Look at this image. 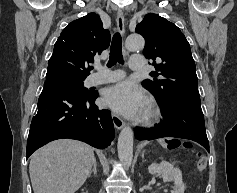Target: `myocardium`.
<instances>
[{"label": "myocardium", "mask_w": 237, "mask_h": 193, "mask_svg": "<svg viewBox=\"0 0 237 193\" xmlns=\"http://www.w3.org/2000/svg\"><path fill=\"white\" fill-rule=\"evenodd\" d=\"M159 114H160L159 108L154 103H151L145 114L144 120L146 122L153 121L159 117Z\"/></svg>", "instance_id": "obj_1"}]
</instances>
